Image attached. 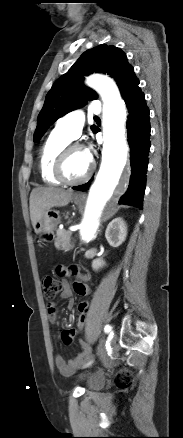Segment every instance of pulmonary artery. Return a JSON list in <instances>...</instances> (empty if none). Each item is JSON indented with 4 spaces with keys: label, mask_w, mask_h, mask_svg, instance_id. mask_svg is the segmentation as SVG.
Listing matches in <instances>:
<instances>
[{
    "label": "pulmonary artery",
    "mask_w": 183,
    "mask_h": 438,
    "mask_svg": "<svg viewBox=\"0 0 183 438\" xmlns=\"http://www.w3.org/2000/svg\"><path fill=\"white\" fill-rule=\"evenodd\" d=\"M90 111L94 114H100L102 111L101 103L99 101H93ZM84 121V113L82 110L76 109L61 117L57 121L55 129L73 140L79 137L84 126Z\"/></svg>",
    "instance_id": "pulmonary-artery-1"
}]
</instances>
